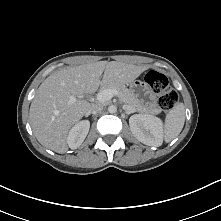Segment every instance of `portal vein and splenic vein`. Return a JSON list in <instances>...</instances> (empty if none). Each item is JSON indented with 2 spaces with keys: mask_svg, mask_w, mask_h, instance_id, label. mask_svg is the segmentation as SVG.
<instances>
[{
  "mask_svg": "<svg viewBox=\"0 0 221 221\" xmlns=\"http://www.w3.org/2000/svg\"><path fill=\"white\" fill-rule=\"evenodd\" d=\"M117 95V91L113 90V89H106V90H102L98 93L96 100L98 102H105L108 101L110 99H112L113 96ZM76 101L75 97H71L69 100V103H73Z\"/></svg>",
  "mask_w": 221,
  "mask_h": 221,
  "instance_id": "obj_1",
  "label": "portal vein and splenic vein"
}]
</instances>
